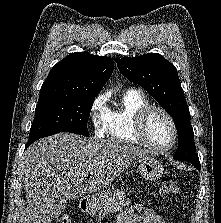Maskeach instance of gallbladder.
Wrapping results in <instances>:
<instances>
[{
	"label": "gallbladder",
	"mask_w": 221,
	"mask_h": 223,
	"mask_svg": "<svg viewBox=\"0 0 221 223\" xmlns=\"http://www.w3.org/2000/svg\"><path fill=\"white\" fill-rule=\"evenodd\" d=\"M62 203H63V207L60 208V211H63L65 209L67 200H62Z\"/></svg>",
	"instance_id": "obj_1"
}]
</instances>
